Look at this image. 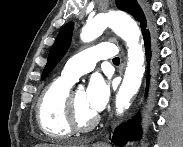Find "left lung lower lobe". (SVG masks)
<instances>
[{"label": "left lung lower lobe", "mask_w": 183, "mask_h": 147, "mask_svg": "<svg viewBox=\"0 0 183 147\" xmlns=\"http://www.w3.org/2000/svg\"><path fill=\"white\" fill-rule=\"evenodd\" d=\"M146 58H147V92H154L157 85L158 74V47L157 36L154 30H150L143 34ZM141 136V130L138 124H123L116 128L112 142L117 146H124L127 141L139 140Z\"/></svg>", "instance_id": "left-lung-lower-lobe-1"}]
</instances>
